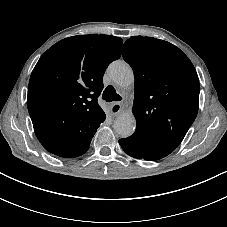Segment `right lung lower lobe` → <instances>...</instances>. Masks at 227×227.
I'll return each instance as SVG.
<instances>
[{
  "mask_svg": "<svg viewBox=\"0 0 227 227\" xmlns=\"http://www.w3.org/2000/svg\"><path fill=\"white\" fill-rule=\"evenodd\" d=\"M58 156V155H57ZM60 157H63V156H60ZM67 158H72V157H67Z\"/></svg>",
  "mask_w": 227,
  "mask_h": 227,
  "instance_id": "1",
  "label": "right lung lower lobe"
}]
</instances>
